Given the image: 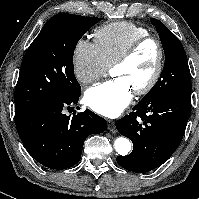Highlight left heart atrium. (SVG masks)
<instances>
[{"label": "left heart atrium", "mask_w": 199, "mask_h": 199, "mask_svg": "<svg viewBox=\"0 0 199 199\" xmlns=\"http://www.w3.org/2000/svg\"><path fill=\"white\" fill-rule=\"evenodd\" d=\"M84 99L96 113L106 117H116L131 102L132 89L124 78L115 77L87 89Z\"/></svg>", "instance_id": "left-heart-atrium-1"}]
</instances>
